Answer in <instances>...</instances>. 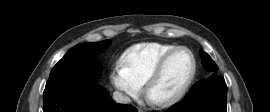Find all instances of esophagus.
Returning <instances> with one entry per match:
<instances>
[{"mask_svg":"<svg viewBox=\"0 0 270 112\" xmlns=\"http://www.w3.org/2000/svg\"><path fill=\"white\" fill-rule=\"evenodd\" d=\"M138 112H144V111H142V110H139Z\"/></svg>","mask_w":270,"mask_h":112,"instance_id":"34e87169","label":"esophagus"}]
</instances>
